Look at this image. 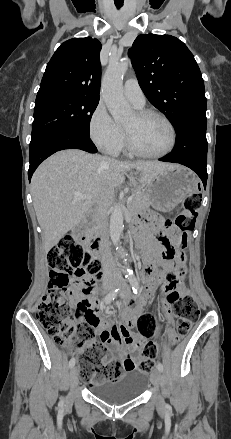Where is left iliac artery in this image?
<instances>
[{
	"mask_svg": "<svg viewBox=\"0 0 231 439\" xmlns=\"http://www.w3.org/2000/svg\"><path fill=\"white\" fill-rule=\"evenodd\" d=\"M129 282L131 284V287H132V290H133L134 294H137L138 291H139V284H138L137 279L135 277H131L129 279ZM157 369L162 372L163 371V365L161 363H158L157 364Z\"/></svg>",
	"mask_w": 231,
	"mask_h": 439,
	"instance_id": "1",
	"label": "left iliac artery"
}]
</instances>
